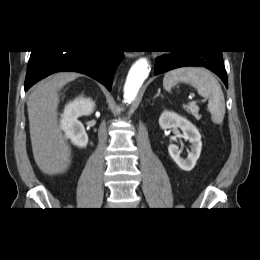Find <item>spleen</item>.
<instances>
[{
  "label": "spleen",
  "mask_w": 260,
  "mask_h": 260,
  "mask_svg": "<svg viewBox=\"0 0 260 260\" xmlns=\"http://www.w3.org/2000/svg\"><path fill=\"white\" fill-rule=\"evenodd\" d=\"M187 83L198 94L208 99V111L215 124H221L225 115V100L221 86L212 73L204 68L184 67L169 71L163 79V87L170 92L178 83Z\"/></svg>",
  "instance_id": "obj_1"
}]
</instances>
